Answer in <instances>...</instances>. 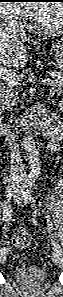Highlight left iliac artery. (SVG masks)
<instances>
[{"label": "left iliac artery", "mask_w": 63, "mask_h": 297, "mask_svg": "<svg viewBox=\"0 0 63 297\" xmlns=\"http://www.w3.org/2000/svg\"><path fill=\"white\" fill-rule=\"evenodd\" d=\"M21 193H22V197L24 198V201H25V202H28V200H29V201H31V200L34 201V199L31 198L30 195H28V194L30 193L29 190H27L26 192L21 191ZM15 197L17 198L16 201H17L18 204H19L20 202H19L18 199H20V198H19L18 196H15ZM48 221H49V220H48ZM51 228H52V224L50 223V224H48V230L50 231ZM52 245L54 246L55 251L59 252L58 248L60 249V246H59L58 244H56L55 242H53V241H52Z\"/></svg>", "instance_id": "44dca946"}]
</instances>
